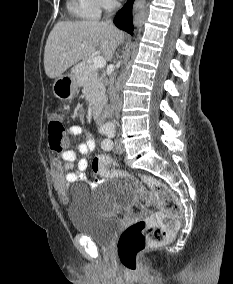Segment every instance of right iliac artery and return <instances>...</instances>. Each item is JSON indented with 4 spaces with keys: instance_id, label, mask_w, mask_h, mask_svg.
<instances>
[{
    "instance_id": "1",
    "label": "right iliac artery",
    "mask_w": 233,
    "mask_h": 284,
    "mask_svg": "<svg viewBox=\"0 0 233 284\" xmlns=\"http://www.w3.org/2000/svg\"><path fill=\"white\" fill-rule=\"evenodd\" d=\"M103 130H105V128H102L100 131L102 132Z\"/></svg>"
}]
</instances>
